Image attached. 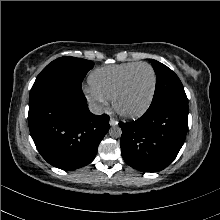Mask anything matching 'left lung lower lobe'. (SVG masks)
<instances>
[{
	"instance_id": "1",
	"label": "left lung lower lobe",
	"mask_w": 220,
	"mask_h": 220,
	"mask_svg": "<svg viewBox=\"0 0 220 220\" xmlns=\"http://www.w3.org/2000/svg\"><path fill=\"white\" fill-rule=\"evenodd\" d=\"M124 161L142 172H158L176 158L188 129V110L172 104L149 109L133 122L119 123Z\"/></svg>"
}]
</instances>
